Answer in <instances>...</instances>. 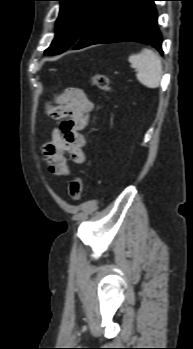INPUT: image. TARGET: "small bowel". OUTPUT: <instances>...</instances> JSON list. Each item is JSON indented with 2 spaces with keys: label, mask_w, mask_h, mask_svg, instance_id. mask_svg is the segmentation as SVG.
<instances>
[{
  "label": "small bowel",
  "mask_w": 193,
  "mask_h": 349,
  "mask_svg": "<svg viewBox=\"0 0 193 349\" xmlns=\"http://www.w3.org/2000/svg\"><path fill=\"white\" fill-rule=\"evenodd\" d=\"M93 102L78 88H69L61 98V105L51 115L61 120L52 128L51 140L42 149L48 171L56 176L69 174L67 156L76 164L86 161V138L81 133L89 123Z\"/></svg>",
  "instance_id": "obj_1"
}]
</instances>
